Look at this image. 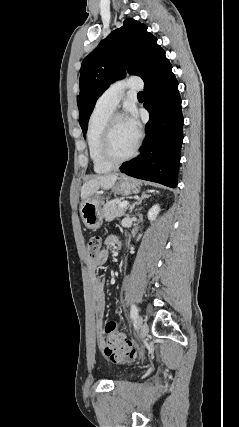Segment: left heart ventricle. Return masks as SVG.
<instances>
[{
    "mask_svg": "<svg viewBox=\"0 0 239 427\" xmlns=\"http://www.w3.org/2000/svg\"><path fill=\"white\" fill-rule=\"evenodd\" d=\"M136 136L133 135L125 124L124 119H118L112 131V153L116 157H124L133 149Z\"/></svg>",
    "mask_w": 239,
    "mask_h": 427,
    "instance_id": "1",
    "label": "left heart ventricle"
}]
</instances>
